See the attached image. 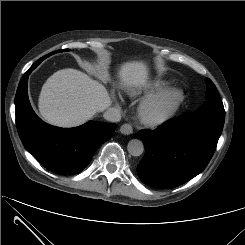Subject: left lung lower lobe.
I'll return each instance as SVG.
<instances>
[{"mask_svg": "<svg viewBox=\"0 0 245 245\" xmlns=\"http://www.w3.org/2000/svg\"><path fill=\"white\" fill-rule=\"evenodd\" d=\"M224 122L182 115L150 131L141 130L145 155L137 167L146 185L171 189L201 173L212 158Z\"/></svg>", "mask_w": 245, "mask_h": 245, "instance_id": "left-lung-lower-lobe-1", "label": "left lung lower lobe"}]
</instances>
